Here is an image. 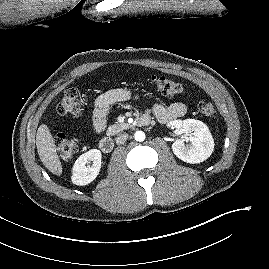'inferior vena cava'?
Segmentation results:
<instances>
[{"mask_svg":"<svg viewBox=\"0 0 269 269\" xmlns=\"http://www.w3.org/2000/svg\"><path fill=\"white\" fill-rule=\"evenodd\" d=\"M128 138V134H121L116 138V143L117 144H123Z\"/></svg>","mask_w":269,"mask_h":269,"instance_id":"1","label":"inferior vena cava"}]
</instances>
